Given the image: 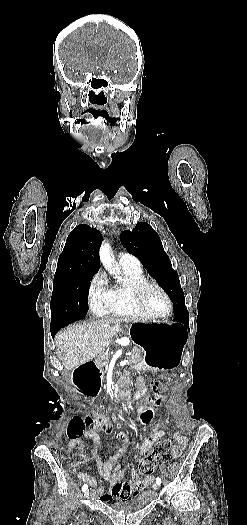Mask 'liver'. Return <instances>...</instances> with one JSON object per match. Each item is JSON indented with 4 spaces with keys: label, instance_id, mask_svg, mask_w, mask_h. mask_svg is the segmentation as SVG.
Listing matches in <instances>:
<instances>
[{
    "label": "liver",
    "instance_id": "obj_1",
    "mask_svg": "<svg viewBox=\"0 0 247 525\" xmlns=\"http://www.w3.org/2000/svg\"><path fill=\"white\" fill-rule=\"evenodd\" d=\"M118 331H120L118 321H109V319H98L92 323H77L66 327L54 337L58 359L62 361L65 369L72 371L75 367L99 357Z\"/></svg>",
    "mask_w": 247,
    "mask_h": 525
}]
</instances>
